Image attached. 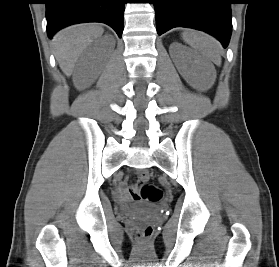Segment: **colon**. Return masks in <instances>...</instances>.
<instances>
[{
	"label": "colon",
	"instance_id": "colon-1",
	"mask_svg": "<svg viewBox=\"0 0 279 267\" xmlns=\"http://www.w3.org/2000/svg\"><path fill=\"white\" fill-rule=\"evenodd\" d=\"M139 185L140 189L138 191L139 196L143 200L156 202L162 198V191L160 188L153 184L148 183V174L143 172L139 175ZM134 192H137L134 190ZM152 234L151 226H144L137 230V236L141 239H147Z\"/></svg>",
	"mask_w": 279,
	"mask_h": 267
}]
</instances>
